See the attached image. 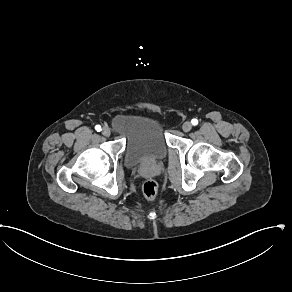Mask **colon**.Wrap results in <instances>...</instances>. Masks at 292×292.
I'll return each mask as SVG.
<instances>
[{
	"mask_svg": "<svg viewBox=\"0 0 292 292\" xmlns=\"http://www.w3.org/2000/svg\"><path fill=\"white\" fill-rule=\"evenodd\" d=\"M143 196L146 200H153L158 192V186L153 179H147L143 184Z\"/></svg>",
	"mask_w": 292,
	"mask_h": 292,
	"instance_id": "colon-1",
	"label": "colon"
}]
</instances>
